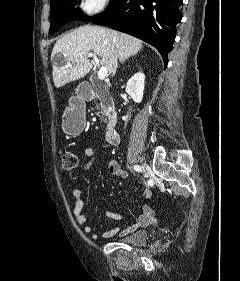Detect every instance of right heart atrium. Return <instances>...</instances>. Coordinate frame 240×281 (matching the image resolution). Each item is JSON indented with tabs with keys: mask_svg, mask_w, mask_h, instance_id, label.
I'll use <instances>...</instances> for the list:
<instances>
[{
	"mask_svg": "<svg viewBox=\"0 0 240 281\" xmlns=\"http://www.w3.org/2000/svg\"><path fill=\"white\" fill-rule=\"evenodd\" d=\"M109 5V0H81L80 9L89 17L96 16L105 11Z\"/></svg>",
	"mask_w": 240,
	"mask_h": 281,
	"instance_id": "d8ad5b80",
	"label": "right heart atrium"
}]
</instances>
